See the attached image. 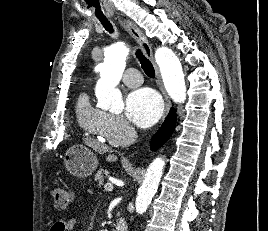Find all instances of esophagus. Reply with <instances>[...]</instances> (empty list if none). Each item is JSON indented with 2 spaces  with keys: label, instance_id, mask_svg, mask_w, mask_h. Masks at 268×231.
<instances>
[{
  "label": "esophagus",
  "instance_id": "obj_1",
  "mask_svg": "<svg viewBox=\"0 0 268 231\" xmlns=\"http://www.w3.org/2000/svg\"><path fill=\"white\" fill-rule=\"evenodd\" d=\"M121 26L137 41V43L142 48L145 56L151 61L152 65L154 67L155 74H156V83L159 86V89L162 92L163 97H164V101H165V111H164V116L162 119V121H163L164 118L169 113V110L171 108V101H170L169 96L166 93L165 88H164V85H163V82L161 79V75L159 72V68L154 60V57H153L151 46L149 45L147 39L145 38V36L141 32V30L137 27V25L133 21H131L129 19H122ZM135 153H136V151H134L132 153V155H134Z\"/></svg>",
  "mask_w": 268,
  "mask_h": 231
}]
</instances>
